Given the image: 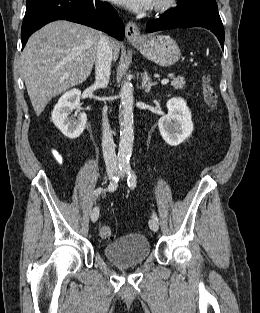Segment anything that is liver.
<instances>
[{
    "label": "liver",
    "instance_id": "obj_1",
    "mask_svg": "<svg viewBox=\"0 0 260 313\" xmlns=\"http://www.w3.org/2000/svg\"><path fill=\"white\" fill-rule=\"evenodd\" d=\"M102 33L69 21L47 24L28 40L21 66L37 116L56 95L83 83L90 75ZM114 59L120 45L110 42Z\"/></svg>",
    "mask_w": 260,
    "mask_h": 313
}]
</instances>
